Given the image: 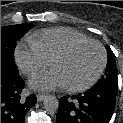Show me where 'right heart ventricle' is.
<instances>
[{
	"instance_id": "1",
	"label": "right heart ventricle",
	"mask_w": 123,
	"mask_h": 123,
	"mask_svg": "<svg viewBox=\"0 0 123 123\" xmlns=\"http://www.w3.org/2000/svg\"><path fill=\"white\" fill-rule=\"evenodd\" d=\"M90 39L84 33L69 27H54L34 33L29 41L50 60L57 52L70 44Z\"/></svg>"
}]
</instances>
